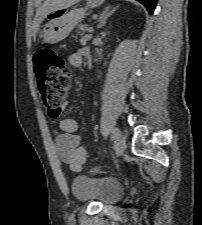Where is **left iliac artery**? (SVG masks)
I'll return each mask as SVG.
<instances>
[{"label":"left iliac artery","instance_id":"1","mask_svg":"<svg viewBox=\"0 0 202 225\" xmlns=\"http://www.w3.org/2000/svg\"><path fill=\"white\" fill-rule=\"evenodd\" d=\"M112 133H113V136H114L115 138H117L118 135H119V131H118L117 128H114V129L112 130Z\"/></svg>","mask_w":202,"mask_h":225}]
</instances>
